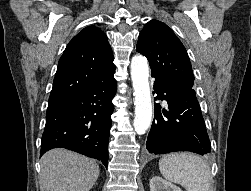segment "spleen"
Returning <instances> with one entry per match:
<instances>
[{
	"instance_id": "3e777b00",
	"label": "spleen",
	"mask_w": 251,
	"mask_h": 191,
	"mask_svg": "<svg viewBox=\"0 0 251 191\" xmlns=\"http://www.w3.org/2000/svg\"><path fill=\"white\" fill-rule=\"evenodd\" d=\"M159 169L165 179L180 183L187 191H209L210 167L203 157L195 153L179 151L162 155Z\"/></svg>"
}]
</instances>
